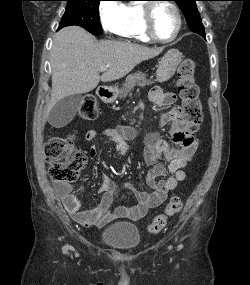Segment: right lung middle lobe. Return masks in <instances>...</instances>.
Here are the masks:
<instances>
[{"mask_svg":"<svg viewBox=\"0 0 250 285\" xmlns=\"http://www.w3.org/2000/svg\"><path fill=\"white\" fill-rule=\"evenodd\" d=\"M67 7L59 28L78 25L94 35H100L102 26L99 19V3L101 0H66Z\"/></svg>","mask_w":250,"mask_h":285,"instance_id":"right-lung-middle-lobe-1","label":"right lung middle lobe"}]
</instances>
